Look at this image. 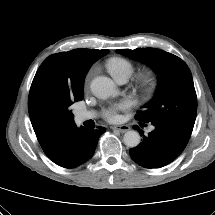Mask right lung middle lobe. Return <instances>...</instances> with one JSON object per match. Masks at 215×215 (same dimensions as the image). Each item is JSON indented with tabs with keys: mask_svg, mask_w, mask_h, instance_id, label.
Wrapping results in <instances>:
<instances>
[{
	"mask_svg": "<svg viewBox=\"0 0 215 215\" xmlns=\"http://www.w3.org/2000/svg\"><path fill=\"white\" fill-rule=\"evenodd\" d=\"M83 95L58 82L52 67L41 64L31 85L28 108L48 120H71L74 116L70 106L82 100Z\"/></svg>",
	"mask_w": 215,
	"mask_h": 215,
	"instance_id": "right-lung-middle-lobe-1",
	"label": "right lung middle lobe"
}]
</instances>
